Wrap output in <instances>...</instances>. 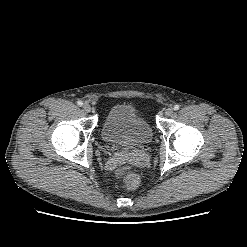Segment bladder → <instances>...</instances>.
Segmentation results:
<instances>
[{"label": "bladder", "mask_w": 247, "mask_h": 247, "mask_svg": "<svg viewBox=\"0 0 247 247\" xmlns=\"http://www.w3.org/2000/svg\"><path fill=\"white\" fill-rule=\"evenodd\" d=\"M101 137L105 143L123 152H132L148 145L153 131L139 111L129 104H117L106 114Z\"/></svg>", "instance_id": "31cf9c89"}]
</instances>
